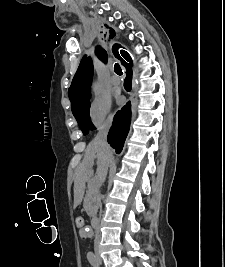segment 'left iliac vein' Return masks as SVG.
<instances>
[{
  "label": "left iliac vein",
  "mask_w": 225,
  "mask_h": 267,
  "mask_svg": "<svg viewBox=\"0 0 225 267\" xmlns=\"http://www.w3.org/2000/svg\"><path fill=\"white\" fill-rule=\"evenodd\" d=\"M99 263H101V259H99Z\"/></svg>",
  "instance_id": "4c4485c4"
}]
</instances>
